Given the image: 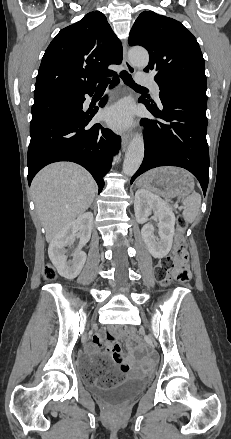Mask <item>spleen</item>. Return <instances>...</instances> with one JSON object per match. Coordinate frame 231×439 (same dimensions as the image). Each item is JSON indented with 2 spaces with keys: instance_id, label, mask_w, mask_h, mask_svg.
Wrapping results in <instances>:
<instances>
[{
  "instance_id": "3e777b00",
  "label": "spleen",
  "mask_w": 231,
  "mask_h": 439,
  "mask_svg": "<svg viewBox=\"0 0 231 439\" xmlns=\"http://www.w3.org/2000/svg\"><path fill=\"white\" fill-rule=\"evenodd\" d=\"M183 218L186 222H193L199 214L201 206L200 194L193 192L183 200Z\"/></svg>"
}]
</instances>
